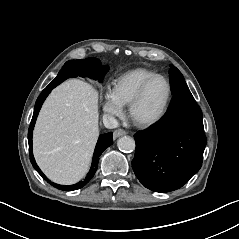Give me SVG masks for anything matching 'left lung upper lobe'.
<instances>
[{
  "mask_svg": "<svg viewBox=\"0 0 239 239\" xmlns=\"http://www.w3.org/2000/svg\"><path fill=\"white\" fill-rule=\"evenodd\" d=\"M169 75H170V83H171V86H172V93L173 94L177 91L188 89V86H187V84L184 80L183 75L173 65L170 66Z\"/></svg>",
  "mask_w": 239,
  "mask_h": 239,
  "instance_id": "obj_1",
  "label": "left lung upper lobe"
}]
</instances>
